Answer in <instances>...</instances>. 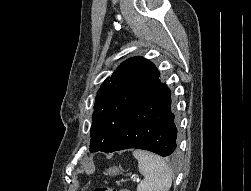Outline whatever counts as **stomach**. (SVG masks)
<instances>
[{"instance_id":"stomach-1","label":"stomach","mask_w":251,"mask_h":191,"mask_svg":"<svg viewBox=\"0 0 251 191\" xmlns=\"http://www.w3.org/2000/svg\"><path fill=\"white\" fill-rule=\"evenodd\" d=\"M120 169V165H113V167H108L104 173L105 175H118V173H120Z\"/></svg>"}]
</instances>
